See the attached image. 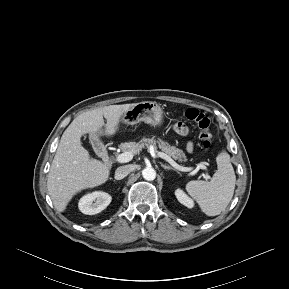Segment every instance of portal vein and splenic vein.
Here are the masks:
<instances>
[{
	"label": "portal vein and splenic vein",
	"mask_w": 289,
	"mask_h": 289,
	"mask_svg": "<svg viewBox=\"0 0 289 289\" xmlns=\"http://www.w3.org/2000/svg\"><path fill=\"white\" fill-rule=\"evenodd\" d=\"M150 154L152 156L157 155V156L161 157L162 159L166 160L169 164H171L173 167H175L176 169H178L180 171L188 172V171L192 170L191 168L180 166L170 156L166 155L163 152H155L153 149H150ZM132 158H133V154L131 152H124L122 154H119L116 157V161L119 163H127V162L131 161ZM196 169L207 170V167L204 164H198ZM202 176L206 180L210 178V176L207 173L202 174Z\"/></svg>",
	"instance_id": "obj_1"
}]
</instances>
